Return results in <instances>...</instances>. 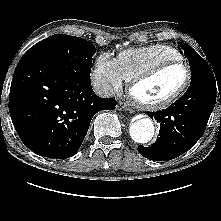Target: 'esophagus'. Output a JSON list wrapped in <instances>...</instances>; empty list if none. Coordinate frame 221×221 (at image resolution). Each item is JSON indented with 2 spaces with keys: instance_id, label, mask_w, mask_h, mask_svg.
I'll return each instance as SVG.
<instances>
[{
  "instance_id": "34e87169",
  "label": "esophagus",
  "mask_w": 221,
  "mask_h": 221,
  "mask_svg": "<svg viewBox=\"0 0 221 221\" xmlns=\"http://www.w3.org/2000/svg\"><path fill=\"white\" fill-rule=\"evenodd\" d=\"M117 110H119V111H129L130 113L133 112V110L130 107H128L127 105H125L123 102L118 103Z\"/></svg>"
}]
</instances>
